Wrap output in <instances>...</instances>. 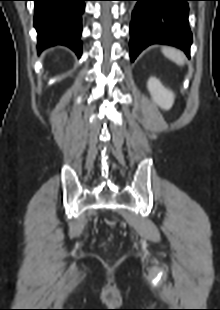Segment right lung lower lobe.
Returning <instances> with one entry per match:
<instances>
[{
    "label": "right lung lower lobe",
    "instance_id": "1",
    "mask_svg": "<svg viewBox=\"0 0 220 310\" xmlns=\"http://www.w3.org/2000/svg\"><path fill=\"white\" fill-rule=\"evenodd\" d=\"M34 27L38 33V51L64 45L78 57L82 53V14L87 0H34Z\"/></svg>",
    "mask_w": 220,
    "mask_h": 310
}]
</instances>
